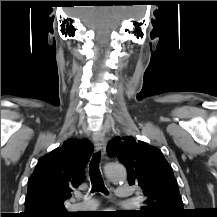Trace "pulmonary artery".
I'll list each match as a JSON object with an SVG mask.
<instances>
[{"label":"pulmonary artery","instance_id":"obj_1","mask_svg":"<svg viewBox=\"0 0 217 217\" xmlns=\"http://www.w3.org/2000/svg\"><path fill=\"white\" fill-rule=\"evenodd\" d=\"M132 195V188L129 186H120L115 191V196L119 199H130ZM97 206L92 199H87L84 203L75 205V209H93Z\"/></svg>","mask_w":217,"mask_h":217}]
</instances>
